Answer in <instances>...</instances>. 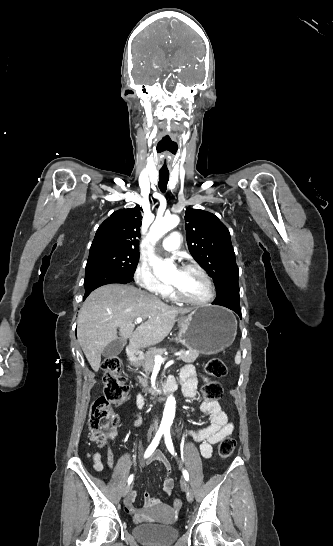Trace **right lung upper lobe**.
<instances>
[{"instance_id":"1","label":"right lung upper lobe","mask_w":333,"mask_h":546,"mask_svg":"<svg viewBox=\"0 0 333 546\" xmlns=\"http://www.w3.org/2000/svg\"><path fill=\"white\" fill-rule=\"evenodd\" d=\"M141 210L136 206L113 212L97 229L90 251L117 248L139 252Z\"/></svg>"}]
</instances>
